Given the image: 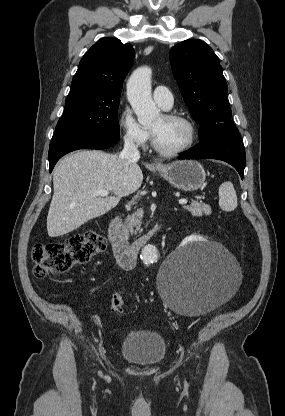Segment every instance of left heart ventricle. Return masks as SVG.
I'll return each mask as SVG.
<instances>
[{
  "instance_id": "1",
  "label": "left heart ventricle",
  "mask_w": 285,
  "mask_h": 416,
  "mask_svg": "<svg viewBox=\"0 0 285 416\" xmlns=\"http://www.w3.org/2000/svg\"><path fill=\"white\" fill-rule=\"evenodd\" d=\"M157 144L165 150H175L182 147L188 140V129L180 121L166 119L159 115L151 124Z\"/></svg>"
}]
</instances>
